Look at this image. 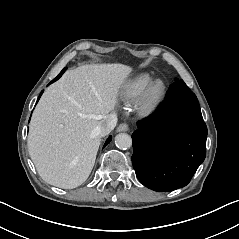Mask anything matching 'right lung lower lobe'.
I'll return each mask as SVG.
<instances>
[{"label":"right lung lower lobe","instance_id":"right-lung-lower-lobe-1","mask_svg":"<svg viewBox=\"0 0 239 239\" xmlns=\"http://www.w3.org/2000/svg\"><path fill=\"white\" fill-rule=\"evenodd\" d=\"M67 68L65 67L62 71H61V73L53 80V81H55V80H57L59 77H61V75L65 72V70H66ZM52 81V82H53ZM42 93H43V91L41 92V94H40V96L42 95ZM39 100V99H38ZM111 136L107 139V141H106V143H105V145H104V147L111 141Z\"/></svg>","mask_w":239,"mask_h":239}]
</instances>
